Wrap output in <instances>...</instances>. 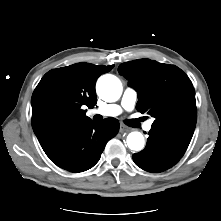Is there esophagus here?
<instances>
[{
  "label": "esophagus",
  "mask_w": 221,
  "mask_h": 221,
  "mask_svg": "<svg viewBox=\"0 0 221 221\" xmlns=\"http://www.w3.org/2000/svg\"><path fill=\"white\" fill-rule=\"evenodd\" d=\"M130 131V129L128 127H126L125 125L121 124L120 125V132L123 133V132H128Z\"/></svg>",
  "instance_id": "obj_1"
}]
</instances>
